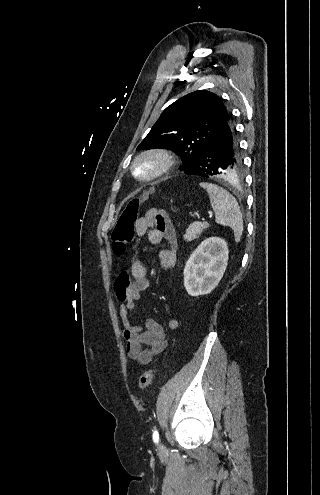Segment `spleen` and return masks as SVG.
I'll use <instances>...</instances> for the list:
<instances>
[{"instance_id": "3e777b00", "label": "spleen", "mask_w": 320, "mask_h": 495, "mask_svg": "<svg viewBox=\"0 0 320 495\" xmlns=\"http://www.w3.org/2000/svg\"><path fill=\"white\" fill-rule=\"evenodd\" d=\"M200 186L209 194L216 223L232 228L235 242L238 243L243 232V220L235 197L227 190L212 183L201 182Z\"/></svg>"}]
</instances>
